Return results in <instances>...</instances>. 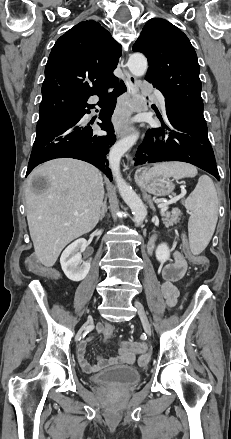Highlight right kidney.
I'll list each match as a JSON object with an SVG mask.
<instances>
[{
	"label": "right kidney",
	"instance_id": "1",
	"mask_svg": "<svg viewBox=\"0 0 231 439\" xmlns=\"http://www.w3.org/2000/svg\"><path fill=\"white\" fill-rule=\"evenodd\" d=\"M87 247V241L84 238L77 239L71 243L62 253L60 263L62 270L68 279L72 281L83 280L91 266V261H83L81 252Z\"/></svg>",
	"mask_w": 231,
	"mask_h": 439
}]
</instances>
